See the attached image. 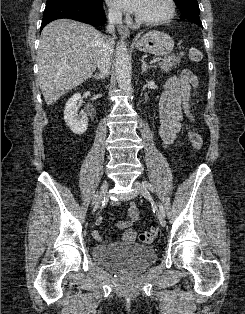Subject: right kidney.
Instances as JSON below:
<instances>
[{"mask_svg":"<svg viewBox=\"0 0 245 314\" xmlns=\"http://www.w3.org/2000/svg\"><path fill=\"white\" fill-rule=\"evenodd\" d=\"M81 99L80 93H75L66 103L64 110V120L67 126L74 134L81 135L86 132L88 127V118L82 113L78 116L79 106L78 101Z\"/></svg>","mask_w":245,"mask_h":314,"instance_id":"obj_1","label":"right kidney"}]
</instances>
